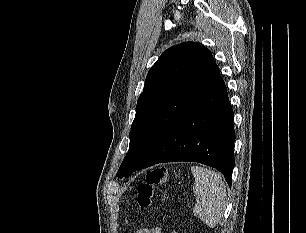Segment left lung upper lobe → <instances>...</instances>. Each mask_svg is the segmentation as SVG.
I'll use <instances>...</instances> for the list:
<instances>
[{
  "label": "left lung upper lobe",
  "instance_id": "1",
  "mask_svg": "<svg viewBox=\"0 0 306 233\" xmlns=\"http://www.w3.org/2000/svg\"><path fill=\"white\" fill-rule=\"evenodd\" d=\"M219 76L211 52L199 43L185 42L164 51L146 77L129 133V152L117 176L138 170Z\"/></svg>",
  "mask_w": 306,
  "mask_h": 233
}]
</instances>
